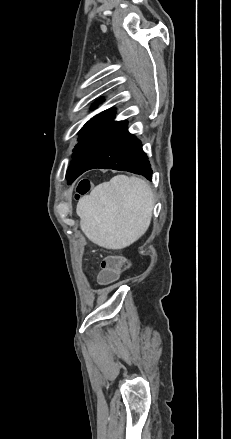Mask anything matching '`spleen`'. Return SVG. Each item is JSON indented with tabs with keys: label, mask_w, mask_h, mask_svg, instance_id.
Listing matches in <instances>:
<instances>
[{
	"label": "spleen",
	"mask_w": 231,
	"mask_h": 439,
	"mask_svg": "<svg viewBox=\"0 0 231 439\" xmlns=\"http://www.w3.org/2000/svg\"><path fill=\"white\" fill-rule=\"evenodd\" d=\"M153 205L152 190L144 180L117 175L84 196L76 211L82 231L92 242L121 249L146 232Z\"/></svg>",
	"instance_id": "1"
}]
</instances>
